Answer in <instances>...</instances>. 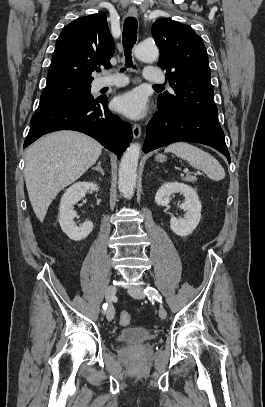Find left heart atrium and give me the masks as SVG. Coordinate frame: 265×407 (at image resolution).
<instances>
[{
    "label": "left heart atrium",
    "instance_id": "1",
    "mask_svg": "<svg viewBox=\"0 0 265 407\" xmlns=\"http://www.w3.org/2000/svg\"><path fill=\"white\" fill-rule=\"evenodd\" d=\"M113 107L131 119H140L147 113L146 97L138 90L116 97L113 101Z\"/></svg>",
    "mask_w": 265,
    "mask_h": 407
}]
</instances>
